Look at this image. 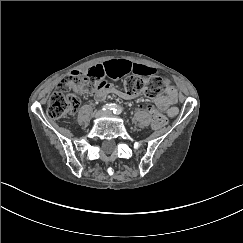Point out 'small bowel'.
Here are the masks:
<instances>
[{"label":"small bowel","mask_w":243,"mask_h":243,"mask_svg":"<svg viewBox=\"0 0 243 243\" xmlns=\"http://www.w3.org/2000/svg\"><path fill=\"white\" fill-rule=\"evenodd\" d=\"M87 73L100 77L109 76L111 78L118 79L129 73L141 76L154 75L155 69L142 64L132 63L127 60H115L96 65L90 68ZM110 93H116L120 96L125 95L110 84L106 83L95 92V99L97 101H102ZM176 102L177 98L173 95H169L158 98L156 100V105L159 109L164 110L170 117H175L179 112L178 108L174 105Z\"/></svg>","instance_id":"obj_1"}]
</instances>
